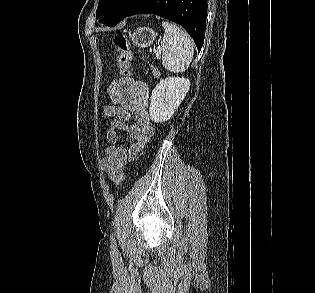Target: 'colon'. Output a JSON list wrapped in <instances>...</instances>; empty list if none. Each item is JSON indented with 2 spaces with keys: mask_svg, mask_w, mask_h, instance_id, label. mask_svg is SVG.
<instances>
[{
  "mask_svg": "<svg viewBox=\"0 0 315 293\" xmlns=\"http://www.w3.org/2000/svg\"><path fill=\"white\" fill-rule=\"evenodd\" d=\"M115 45L119 50L118 55V65L120 68V73L124 77H130L131 71V50L129 48L128 39L125 34H117L114 38ZM110 86L105 89L107 94H112L118 91V86L120 83L119 78H110ZM124 178L123 171H119L111 176V182L114 186H119Z\"/></svg>",
  "mask_w": 315,
  "mask_h": 293,
  "instance_id": "1",
  "label": "colon"
}]
</instances>
